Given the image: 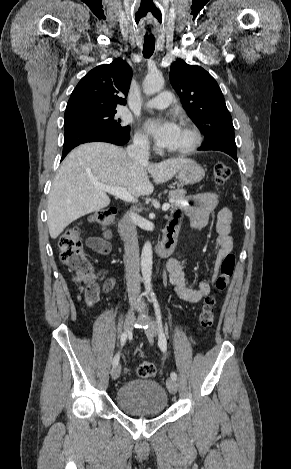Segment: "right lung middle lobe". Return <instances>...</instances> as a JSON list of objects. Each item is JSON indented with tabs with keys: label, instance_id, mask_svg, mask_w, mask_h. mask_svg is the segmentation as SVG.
I'll return each mask as SVG.
<instances>
[{
	"label": "right lung middle lobe",
	"instance_id": "right-lung-middle-lobe-1",
	"mask_svg": "<svg viewBox=\"0 0 291 469\" xmlns=\"http://www.w3.org/2000/svg\"><path fill=\"white\" fill-rule=\"evenodd\" d=\"M115 109H90L65 114L64 129L93 127L101 129L128 130L129 126L120 125L121 120L114 117Z\"/></svg>",
	"mask_w": 291,
	"mask_h": 469
}]
</instances>
